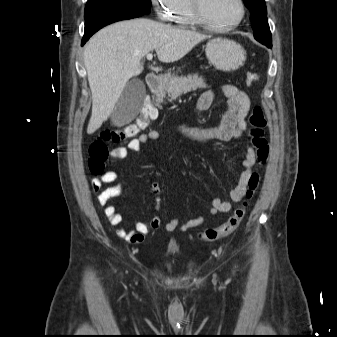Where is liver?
Here are the masks:
<instances>
[{"instance_id":"liver-1","label":"liver","mask_w":337,"mask_h":337,"mask_svg":"<svg viewBox=\"0 0 337 337\" xmlns=\"http://www.w3.org/2000/svg\"><path fill=\"white\" fill-rule=\"evenodd\" d=\"M206 38L144 18L117 22L97 32L83 57L92 93L87 133L93 134L109 118L129 79L142 72L145 55L155 50L161 62H175Z\"/></svg>"}]
</instances>
